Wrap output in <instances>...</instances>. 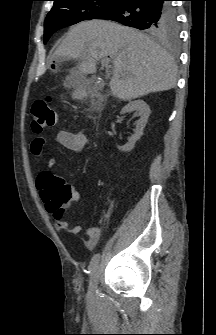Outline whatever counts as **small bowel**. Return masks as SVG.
<instances>
[{
  "label": "small bowel",
  "mask_w": 216,
  "mask_h": 335,
  "mask_svg": "<svg viewBox=\"0 0 216 335\" xmlns=\"http://www.w3.org/2000/svg\"><path fill=\"white\" fill-rule=\"evenodd\" d=\"M56 140L59 145L67 150L76 153H85L88 145L87 138L82 132H69L61 130L57 133ZM46 139L42 136H37L31 143V153L34 156H40L45 146ZM55 167V159H50L46 164V169L39 173L36 181V186L39 191L40 197L44 202L47 211L53 215L56 226L68 231L73 235H77L82 231V227L78 224H69L63 216V208L57 205L58 201L50 194L51 187L56 178L52 170ZM71 198L74 201L79 200V193L76 190L70 192ZM102 233L101 226H91L87 229V237L83 243L86 248L93 249Z\"/></svg>",
  "instance_id": "small-bowel-1"
}]
</instances>
